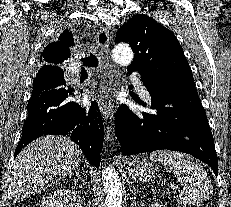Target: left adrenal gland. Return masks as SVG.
<instances>
[{
	"label": "left adrenal gland",
	"mask_w": 231,
	"mask_h": 207,
	"mask_svg": "<svg viewBox=\"0 0 231 207\" xmlns=\"http://www.w3.org/2000/svg\"><path fill=\"white\" fill-rule=\"evenodd\" d=\"M138 193V191L136 190V188L133 189V198H135L136 194Z\"/></svg>",
	"instance_id": "a2214340"
}]
</instances>
